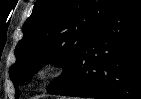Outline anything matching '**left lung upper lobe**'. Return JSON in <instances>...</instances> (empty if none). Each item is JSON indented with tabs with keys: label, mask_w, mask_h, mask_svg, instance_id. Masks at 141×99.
I'll return each instance as SVG.
<instances>
[{
	"label": "left lung upper lobe",
	"mask_w": 141,
	"mask_h": 99,
	"mask_svg": "<svg viewBox=\"0 0 141 99\" xmlns=\"http://www.w3.org/2000/svg\"><path fill=\"white\" fill-rule=\"evenodd\" d=\"M119 0H37L23 26L9 75L16 87L43 63L63 66L58 84L74 67L87 40Z\"/></svg>",
	"instance_id": "left-lung-upper-lobe-1"
}]
</instances>
